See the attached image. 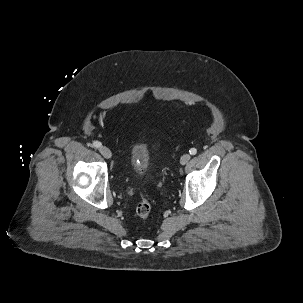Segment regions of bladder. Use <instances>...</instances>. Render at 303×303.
Segmentation results:
<instances>
[{"mask_svg": "<svg viewBox=\"0 0 303 303\" xmlns=\"http://www.w3.org/2000/svg\"><path fill=\"white\" fill-rule=\"evenodd\" d=\"M151 149L145 142L135 143L130 151L131 168L134 174L143 175L150 167Z\"/></svg>", "mask_w": 303, "mask_h": 303, "instance_id": "31cf9c89", "label": "bladder"}]
</instances>
